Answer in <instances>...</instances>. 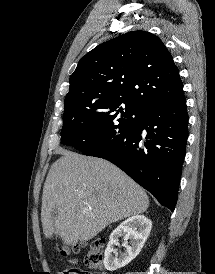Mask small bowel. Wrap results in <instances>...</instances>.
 Here are the masks:
<instances>
[{
	"mask_svg": "<svg viewBox=\"0 0 215 274\" xmlns=\"http://www.w3.org/2000/svg\"><path fill=\"white\" fill-rule=\"evenodd\" d=\"M71 262L74 264V263H76V260H72ZM72 269H76V268H72ZM68 270H71V269H68ZM68 270L60 271L58 274H67L66 271H68ZM102 274H106V273H102Z\"/></svg>",
	"mask_w": 215,
	"mask_h": 274,
	"instance_id": "small-bowel-1",
	"label": "small bowel"
}]
</instances>
